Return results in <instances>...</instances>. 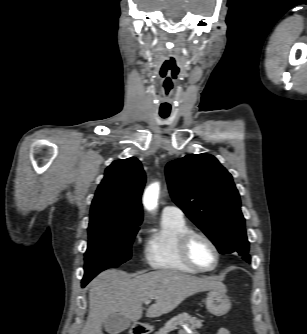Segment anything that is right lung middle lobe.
Instances as JSON below:
<instances>
[{
    "instance_id": "1",
    "label": "right lung middle lobe",
    "mask_w": 307,
    "mask_h": 334,
    "mask_svg": "<svg viewBox=\"0 0 307 334\" xmlns=\"http://www.w3.org/2000/svg\"><path fill=\"white\" fill-rule=\"evenodd\" d=\"M140 224L97 223L88 227V248L85 253L86 285L99 272L115 268L131 258V245Z\"/></svg>"
}]
</instances>
